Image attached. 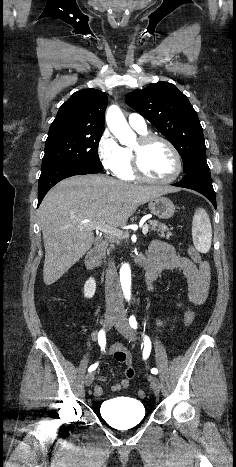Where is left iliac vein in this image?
I'll list each match as a JSON object with an SVG mask.
<instances>
[{
  "instance_id": "left-iliac-vein-1",
  "label": "left iliac vein",
  "mask_w": 236,
  "mask_h": 467,
  "mask_svg": "<svg viewBox=\"0 0 236 467\" xmlns=\"http://www.w3.org/2000/svg\"><path fill=\"white\" fill-rule=\"evenodd\" d=\"M114 325H115L116 329L126 339H128L129 341H134L135 340V334H134L132 328L130 327V325L128 323L126 313L124 311L121 312L118 315L116 321L114 322ZM150 382H151V388L154 391V393L159 394L160 389H161L160 380L157 377L153 376V377L150 378Z\"/></svg>"
}]
</instances>
